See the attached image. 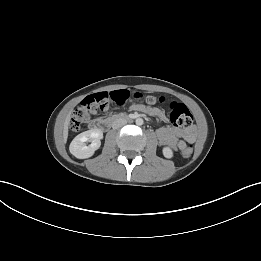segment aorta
I'll return each mask as SVG.
<instances>
[{
    "instance_id": "aorta-1",
    "label": "aorta",
    "mask_w": 261,
    "mask_h": 261,
    "mask_svg": "<svg viewBox=\"0 0 261 261\" xmlns=\"http://www.w3.org/2000/svg\"><path fill=\"white\" fill-rule=\"evenodd\" d=\"M136 124L139 125V126L142 125L143 124V119L142 118H137L136 119Z\"/></svg>"
}]
</instances>
